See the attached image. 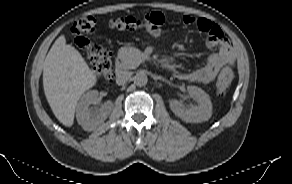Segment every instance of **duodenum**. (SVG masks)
<instances>
[{"mask_svg":"<svg viewBox=\"0 0 292 184\" xmlns=\"http://www.w3.org/2000/svg\"><path fill=\"white\" fill-rule=\"evenodd\" d=\"M115 67H116V70H117V74L119 76H121L124 72V64H123V61L120 57H117L115 59Z\"/></svg>","mask_w":292,"mask_h":184,"instance_id":"obj_1","label":"duodenum"}]
</instances>
